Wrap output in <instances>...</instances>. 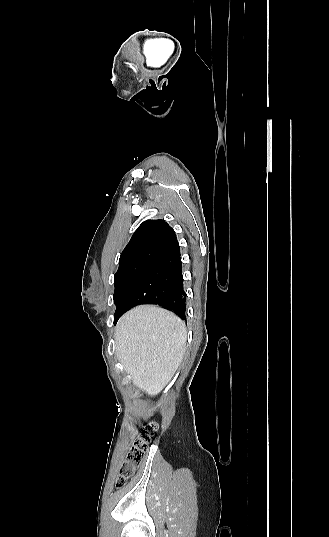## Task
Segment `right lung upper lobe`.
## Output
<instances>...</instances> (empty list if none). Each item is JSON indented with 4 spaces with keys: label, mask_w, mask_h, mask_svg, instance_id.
Segmentation results:
<instances>
[{
    "label": "right lung upper lobe",
    "mask_w": 329,
    "mask_h": 537,
    "mask_svg": "<svg viewBox=\"0 0 329 537\" xmlns=\"http://www.w3.org/2000/svg\"><path fill=\"white\" fill-rule=\"evenodd\" d=\"M178 244L174 230L164 220H147L134 232L121 253L119 268L133 262H152Z\"/></svg>",
    "instance_id": "right-lung-upper-lobe-1"
}]
</instances>
